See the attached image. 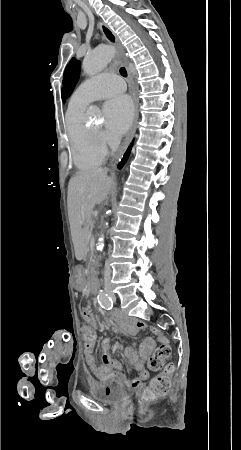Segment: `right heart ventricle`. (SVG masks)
<instances>
[{
  "label": "right heart ventricle",
  "mask_w": 241,
  "mask_h": 450,
  "mask_svg": "<svg viewBox=\"0 0 241 450\" xmlns=\"http://www.w3.org/2000/svg\"><path fill=\"white\" fill-rule=\"evenodd\" d=\"M87 103L72 99L65 117V129L70 144L71 156L74 164L80 168L100 166L104 161L102 143H85L83 138L89 137L88 127L83 119Z\"/></svg>",
  "instance_id": "e07e8e85"
}]
</instances>
